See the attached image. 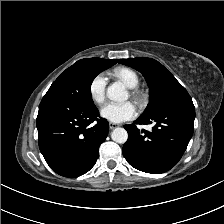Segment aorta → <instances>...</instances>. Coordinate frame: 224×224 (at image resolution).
I'll use <instances>...</instances> for the list:
<instances>
[{"label": "aorta", "instance_id": "1", "mask_svg": "<svg viewBox=\"0 0 224 224\" xmlns=\"http://www.w3.org/2000/svg\"><path fill=\"white\" fill-rule=\"evenodd\" d=\"M107 96L109 99L118 102H125L128 99V93L125 87L119 82H115L108 87ZM111 138L116 143L124 144L128 139V133L124 128L118 127L111 133Z\"/></svg>", "mask_w": 224, "mask_h": 224}]
</instances>
